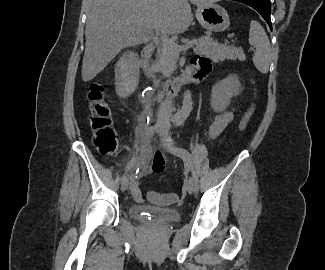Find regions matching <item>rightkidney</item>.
<instances>
[{
    "instance_id": "ca27d5eb",
    "label": "right kidney",
    "mask_w": 325,
    "mask_h": 270,
    "mask_svg": "<svg viewBox=\"0 0 325 270\" xmlns=\"http://www.w3.org/2000/svg\"><path fill=\"white\" fill-rule=\"evenodd\" d=\"M139 83V67L137 56L133 53L124 54L117 63L116 93L127 98L137 88Z\"/></svg>"
}]
</instances>
